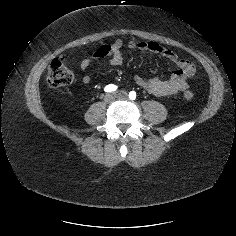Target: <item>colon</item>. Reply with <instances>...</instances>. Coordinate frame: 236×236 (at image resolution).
Masks as SVG:
<instances>
[{
	"label": "colon",
	"mask_w": 236,
	"mask_h": 236,
	"mask_svg": "<svg viewBox=\"0 0 236 236\" xmlns=\"http://www.w3.org/2000/svg\"><path fill=\"white\" fill-rule=\"evenodd\" d=\"M74 78L73 72L67 67L65 57L54 59L47 71L46 81L50 88H60L72 83ZM184 97L187 100L193 98L191 91H186Z\"/></svg>",
	"instance_id": "obj_1"
}]
</instances>
